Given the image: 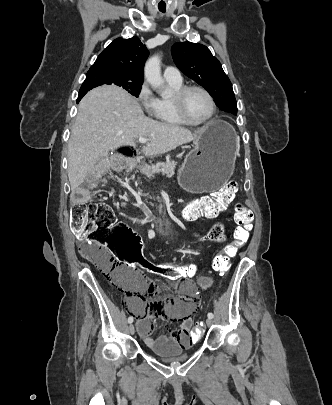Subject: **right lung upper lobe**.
Returning a JSON list of instances; mask_svg holds the SVG:
<instances>
[{
  "label": "right lung upper lobe",
  "mask_w": 332,
  "mask_h": 405,
  "mask_svg": "<svg viewBox=\"0 0 332 405\" xmlns=\"http://www.w3.org/2000/svg\"><path fill=\"white\" fill-rule=\"evenodd\" d=\"M148 54L146 46L138 37L117 38L101 52L88 73L112 71L143 79V67Z\"/></svg>",
  "instance_id": "obj_1"
}]
</instances>
